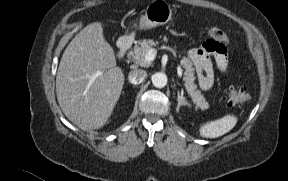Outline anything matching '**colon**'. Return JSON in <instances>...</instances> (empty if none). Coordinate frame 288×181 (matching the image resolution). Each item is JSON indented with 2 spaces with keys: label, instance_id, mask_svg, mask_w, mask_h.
<instances>
[{
  "label": "colon",
  "instance_id": "obj_1",
  "mask_svg": "<svg viewBox=\"0 0 288 181\" xmlns=\"http://www.w3.org/2000/svg\"><path fill=\"white\" fill-rule=\"evenodd\" d=\"M209 35L211 39L207 41V45L217 51L223 52L226 50V45L228 44V37L226 33L219 28H211L209 30ZM244 91L238 87H232L227 90L223 102L227 106H231L240 100L243 96Z\"/></svg>",
  "mask_w": 288,
  "mask_h": 181
}]
</instances>
